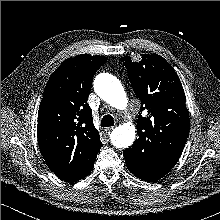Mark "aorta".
Listing matches in <instances>:
<instances>
[{"instance_id":"obj_1","label":"aorta","mask_w":220,"mask_h":220,"mask_svg":"<svg viewBox=\"0 0 220 220\" xmlns=\"http://www.w3.org/2000/svg\"><path fill=\"white\" fill-rule=\"evenodd\" d=\"M95 92L105 102L118 110L127 107V96L121 82L113 75L108 73L99 74L94 81ZM135 126L124 123L116 127L111 133V142L116 148H128L135 140Z\"/></svg>"}]
</instances>
